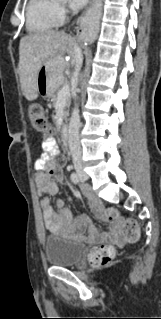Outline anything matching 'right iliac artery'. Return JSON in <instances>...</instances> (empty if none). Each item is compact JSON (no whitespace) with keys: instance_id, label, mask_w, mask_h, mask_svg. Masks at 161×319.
Listing matches in <instances>:
<instances>
[{"instance_id":"obj_1","label":"right iliac artery","mask_w":161,"mask_h":319,"mask_svg":"<svg viewBox=\"0 0 161 319\" xmlns=\"http://www.w3.org/2000/svg\"><path fill=\"white\" fill-rule=\"evenodd\" d=\"M71 180H72V182H73L74 184H79V182H80V177H79V175H78L77 173L73 172V173L71 174Z\"/></svg>"}]
</instances>
